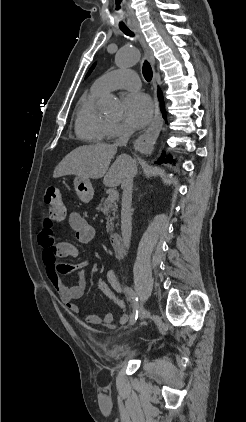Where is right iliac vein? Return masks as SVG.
Wrapping results in <instances>:
<instances>
[{
  "mask_svg": "<svg viewBox=\"0 0 246 422\" xmlns=\"http://www.w3.org/2000/svg\"><path fill=\"white\" fill-rule=\"evenodd\" d=\"M148 315H149L148 310L142 306L140 309V315H139L140 320H145L148 317Z\"/></svg>",
  "mask_w": 246,
  "mask_h": 422,
  "instance_id": "obj_1",
  "label": "right iliac vein"
}]
</instances>
